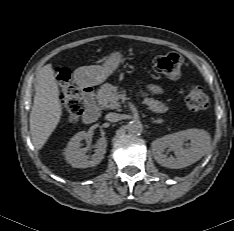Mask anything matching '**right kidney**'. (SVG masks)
<instances>
[{
	"instance_id": "obj_1",
	"label": "right kidney",
	"mask_w": 234,
	"mask_h": 231,
	"mask_svg": "<svg viewBox=\"0 0 234 231\" xmlns=\"http://www.w3.org/2000/svg\"><path fill=\"white\" fill-rule=\"evenodd\" d=\"M91 135L85 131L75 134L64 150L66 161L74 168H88L97 165L104 158L107 147L105 137L98 139L95 145V154L87 156V148H80L82 140H88Z\"/></svg>"
}]
</instances>
